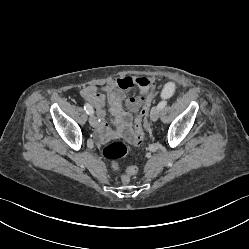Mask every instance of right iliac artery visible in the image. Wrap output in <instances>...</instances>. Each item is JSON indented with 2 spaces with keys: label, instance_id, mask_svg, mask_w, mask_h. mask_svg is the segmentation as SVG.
I'll return each mask as SVG.
<instances>
[{
  "label": "right iliac artery",
  "instance_id": "right-iliac-artery-1",
  "mask_svg": "<svg viewBox=\"0 0 249 249\" xmlns=\"http://www.w3.org/2000/svg\"><path fill=\"white\" fill-rule=\"evenodd\" d=\"M84 110L86 111L87 114H93L94 113V110L92 108V106L88 103H86L84 105Z\"/></svg>",
  "mask_w": 249,
  "mask_h": 249
}]
</instances>
